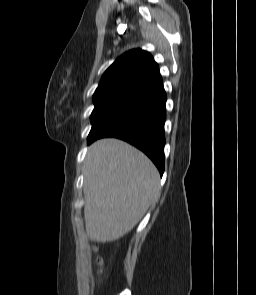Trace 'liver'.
I'll use <instances>...</instances> for the list:
<instances>
[{
    "instance_id": "6515ba94",
    "label": "liver",
    "mask_w": 256,
    "mask_h": 295,
    "mask_svg": "<svg viewBox=\"0 0 256 295\" xmlns=\"http://www.w3.org/2000/svg\"><path fill=\"white\" fill-rule=\"evenodd\" d=\"M84 176L85 227L94 242H112L127 234L160 194L155 165L118 139H101L89 147Z\"/></svg>"
}]
</instances>
